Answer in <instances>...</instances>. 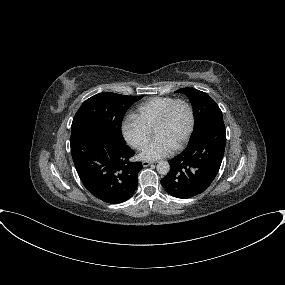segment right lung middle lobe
Returning <instances> with one entry per match:
<instances>
[{
	"label": "right lung middle lobe",
	"mask_w": 285,
	"mask_h": 285,
	"mask_svg": "<svg viewBox=\"0 0 285 285\" xmlns=\"http://www.w3.org/2000/svg\"><path fill=\"white\" fill-rule=\"evenodd\" d=\"M142 96H125L103 92L81 105L73 118L71 131L87 129L106 134L118 143L125 144L121 132L122 119L128 108Z\"/></svg>",
	"instance_id": "1"
}]
</instances>
